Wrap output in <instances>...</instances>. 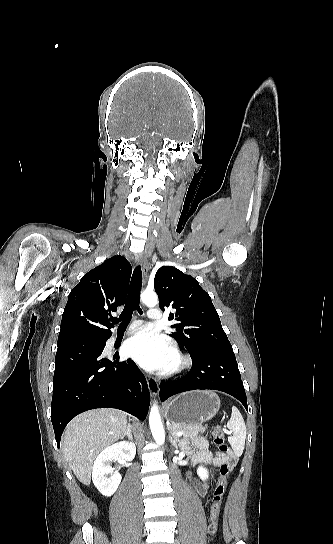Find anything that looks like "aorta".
Listing matches in <instances>:
<instances>
[{"mask_svg": "<svg viewBox=\"0 0 333 544\" xmlns=\"http://www.w3.org/2000/svg\"><path fill=\"white\" fill-rule=\"evenodd\" d=\"M141 300L149 307H154L158 303L157 294L154 291L145 290L141 294ZM149 425L154 440L158 445L165 442V432L161 421L157 404H153L149 414Z\"/></svg>", "mask_w": 333, "mask_h": 544, "instance_id": "762f6f07", "label": "aorta"}]
</instances>
